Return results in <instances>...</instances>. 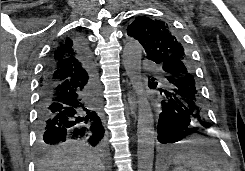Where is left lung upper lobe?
<instances>
[{"mask_svg":"<svg viewBox=\"0 0 245 171\" xmlns=\"http://www.w3.org/2000/svg\"><path fill=\"white\" fill-rule=\"evenodd\" d=\"M127 34L140 42L149 60L161 65L175 58L191 67L181 38L169 23L139 16L128 26Z\"/></svg>","mask_w":245,"mask_h":171,"instance_id":"5c2ea615","label":"left lung upper lobe"}]
</instances>
